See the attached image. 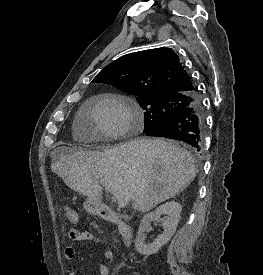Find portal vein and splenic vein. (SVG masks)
<instances>
[{"mask_svg": "<svg viewBox=\"0 0 263 275\" xmlns=\"http://www.w3.org/2000/svg\"><path fill=\"white\" fill-rule=\"evenodd\" d=\"M103 187L105 188V190L107 192H110L112 194V199L117 201L118 207L119 208H123L125 206H127V204L130 201L129 197H126L118 192H116L115 190H113L110 186H108L107 184H102Z\"/></svg>", "mask_w": 263, "mask_h": 275, "instance_id": "portal-vein-and-splenic-vein-1", "label": "portal vein and splenic vein"}]
</instances>
